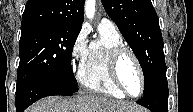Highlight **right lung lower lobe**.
I'll use <instances>...</instances> for the list:
<instances>
[{"mask_svg":"<svg viewBox=\"0 0 193 112\" xmlns=\"http://www.w3.org/2000/svg\"><path fill=\"white\" fill-rule=\"evenodd\" d=\"M72 94L50 84L32 83L16 89V112H23L29 105L46 96Z\"/></svg>","mask_w":193,"mask_h":112,"instance_id":"1","label":"right lung lower lobe"}]
</instances>
